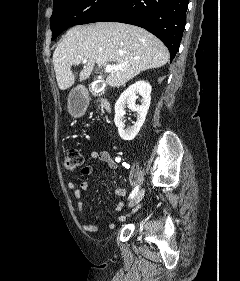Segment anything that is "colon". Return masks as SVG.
<instances>
[{"mask_svg": "<svg viewBox=\"0 0 240 281\" xmlns=\"http://www.w3.org/2000/svg\"><path fill=\"white\" fill-rule=\"evenodd\" d=\"M83 163L84 158L79 149L70 148L66 151L63 158V164L67 170H74L76 168H79L83 165Z\"/></svg>", "mask_w": 240, "mask_h": 281, "instance_id": "1", "label": "colon"}]
</instances>
